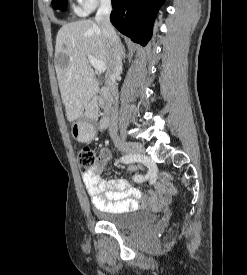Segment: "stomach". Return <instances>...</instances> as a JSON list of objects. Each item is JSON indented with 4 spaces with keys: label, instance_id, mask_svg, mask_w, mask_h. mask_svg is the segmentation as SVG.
Here are the masks:
<instances>
[{
    "label": "stomach",
    "instance_id": "obj_1",
    "mask_svg": "<svg viewBox=\"0 0 247 275\" xmlns=\"http://www.w3.org/2000/svg\"><path fill=\"white\" fill-rule=\"evenodd\" d=\"M71 134L74 139L84 142L94 135V131L90 125L79 121L72 125Z\"/></svg>",
    "mask_w": 247,
    "mask_h": 275
}]
</instances>
